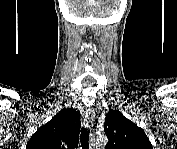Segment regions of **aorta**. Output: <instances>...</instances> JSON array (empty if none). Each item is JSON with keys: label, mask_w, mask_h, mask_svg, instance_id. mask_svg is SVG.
<instances>
[{"label": "aorta", "mask_w": 177, "mask_h": 149, "mask_svg": "<svg viewBox=\"0 0 177 149\" xmlns=\"http://www.w3.org/2000/svg\"><path fill=\"white\" fill-rule=\"evenodd\" d=\"M106 143H107V138L105 135H96L91 140V145L96 149L100 147H104Z\"/></svg>", "instance_id": "762f6f07"}]
</instances>
